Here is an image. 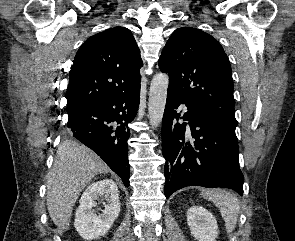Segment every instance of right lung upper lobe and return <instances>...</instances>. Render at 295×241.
<instances>
[{"label":"right lung upper lobe","instance_id":"right-lung-upper-lobe-1","mask_svg":"<svg viewBox=\"0 0 295 241\" xmlns=\"http://www.w3.org/2000/svg\"><path fill=\"white\" fill-rule=\"evenodd\" d=\"M142 65L129 29L115 27L89 37L69 73L67 113L93 100L130 91L140 83Z\"/></svg>","mask_w":295,"mask_h":241}]
</instances>
